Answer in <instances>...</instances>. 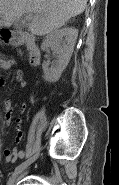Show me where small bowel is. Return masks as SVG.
Listing matches in <instances>:
<instances>
[{"label":"small bowel","instance_id":"1","mask_svg":"<svg viewBox=\"0 0 119 185\" xmlns=\"http://www.w3.org/2000/svg\"><path fill=\"white\" fill-rule=\"evenodd\" d=\"M16 64V60L14 59H2L0 61V67L3 70H11L12 67ZM15 80L19 83L20 88L25 87L26 82L23 79V72L18 70L15 74ZM5 85V80L3 78L0 79V86ZM26 109V105L22 103L20 111L24 112ZM4 119L7 124H10L13 120V102L11 100H6L4 103ZM16 123V136L15 141L19 143L22 139L21 126L23 120L21 117H17L15 119ZM5 161L8 163H14L17 159H23L25 157V152L23 150L18 149L17 147L7 148L4 150Z\"/></svg>","mask_w":119,"mask_h":185}]
</instances>
